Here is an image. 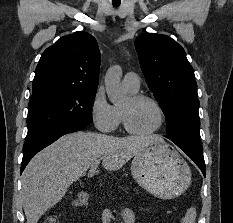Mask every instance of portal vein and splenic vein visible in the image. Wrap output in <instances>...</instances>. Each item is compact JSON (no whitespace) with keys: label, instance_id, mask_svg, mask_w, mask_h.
Instances as JSON below:
<instances>
[{"label":"portal vein and splenic vein","instance_id":"1","mask_svg":"<svg viewBox=\"0 0 233 223\" xmlns=\"http://www.w3.org/2000/svg\"><path fill=\"white\" fill-rule=\"evenodd\" d=\"M99 163H93V165H91L90 169H97ZM88 177H92V171H90V173H88Z\"/></svg>","mask_w":233,"mask_h":223}]
</instances>
